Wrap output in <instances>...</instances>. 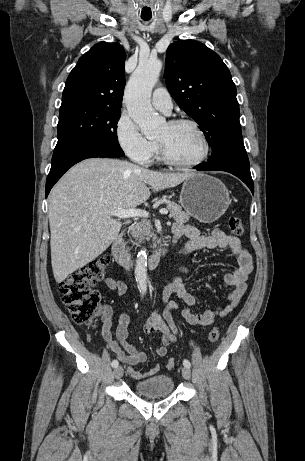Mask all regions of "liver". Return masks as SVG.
<instances>
[{"label": "liver", "instance_id": "obj_1", "mask_svg": "<svg viewBox=\"0 0 305 461\" xmlns=\"http://www.w3.org/2000/svg\"><path fill=\"white\" fill-rule=\"evenodd\" d=\"M192 175L157 172L107 158H90L73 166L49 195L56 282H63L110 246L122 226L112 218L113 211L134 209L150 197V189L175 187Z\"/></svg>", "mask_w": 305, "mask_h": 461}]
</instances>
